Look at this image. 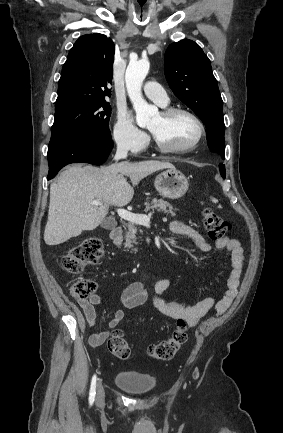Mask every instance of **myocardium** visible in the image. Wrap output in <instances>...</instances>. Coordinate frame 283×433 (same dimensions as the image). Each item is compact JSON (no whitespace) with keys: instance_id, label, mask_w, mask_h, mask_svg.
Here are the masks:
<instances>
[{"instance_id":"myocardium-1","label":"myocardium","mask_w":283,"mask_h":433,"mask_svg":"<svg viewBox=\"0 0 283 433\" xmlns=\"http://www.w3.org/2000/svg\"><path fill=\"white\" fill-rule=\"evenodd\" d=\"M160 114H161L164 121H169L170 119H172L173 117H175L176 115H179V114H187L196 122L197 127H198V133H197L196 138L191 143H189L188 145H186L185 147H182V148L170 147L168 144L160 141L156 137V145H157L156 149L162 155L178 156V155L187 154V153L193 151L202 142L203 138L205 137L206 126H205L203 120L201 119V117L197 113H195L193 110L186 108V107H168V108L163 109L160 112Z\"/></svg>"}]
</instances>
